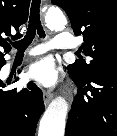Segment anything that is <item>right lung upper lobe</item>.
I'll use <instances>...</instances> for the list:
<instances>
[{
	"mask_svg": "<svg viewBox=\"0 0 117 136\" xmlns=\"http://www.w3.org/2000/svg\"><path fill=\"white\" fill-rule=\"evenodd\" d=\"M30 0H0V60L4 59V52L11 49L4 35H11L28 19ZM19 33L16 34L18 36Z\"/></svg>",
	"mask_w": 117,
	"mask_h": 136,
	"instance_id": "right-lung-upper-lobe-1",
	"label": "right lung upper lobe"
}]
</instances>
